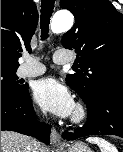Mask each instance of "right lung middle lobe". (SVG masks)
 <instances>
[{"label":"right lung middle lobe","mask_w":123,"mask_h":152,"mask_svg":"<svg viewBox=\"0 0 123 152\" xmlns=\"http://www.w3.org/2000/svg\"><path fill=\"white\" fill-rule=\"evenodd\" d=\"M15 68L1 67V94L20 93L26 89V85H22L15 75Z\"/></svg>","instance_id":"dd1d6c3e"}]
</instances>
